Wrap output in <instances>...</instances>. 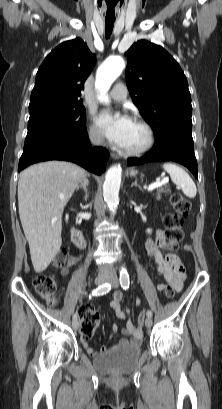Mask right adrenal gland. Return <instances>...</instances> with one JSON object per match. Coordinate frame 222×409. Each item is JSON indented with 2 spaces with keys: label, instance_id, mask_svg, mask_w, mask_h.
I'll list each match as a JSON object with an SVG mask.
<instances>
[{
  "label": "right adrenal gland",
  "instance_id": "right-adrenal-gland-1",
  "mask_svg": "<svg viewBox=\"0 0 222 409\" xmlns=\"http://www.w3.org/2000/svg\"><path fill=\"white\" fill-rule=\"evenodd\" d=\"M87 186H88V180L85 178L82 181H80V184L76 187V191H78L79 189H82L84 191V198L83 199L85 201L88 198Z\"/></svg>",
  "mask_w": 222,
  "mask_h": 409
}]
</instances>
